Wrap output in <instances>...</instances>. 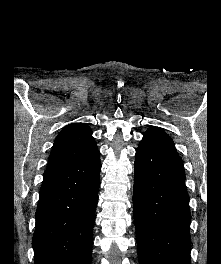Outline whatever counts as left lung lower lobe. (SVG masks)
<instances>
[{"instance_id":"1","label":"left lung lower lobe","mask_w":221,"mask_h":264,"mask_svg":"<svg viewBox=\"0 0 221 264\" xmlns=\"http://www.w3.org/2000/svg\"><path fill=\"white\" fill-rule=\"evenodd\" d=\"M134 171L140 264H191V214L182 159L156 143L141 141Z\"/></svg>"}]
</instances>
